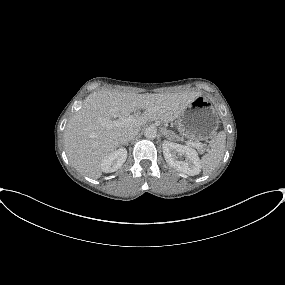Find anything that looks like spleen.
Wrapping results in <instances>:
<instances>
[{
	"instance_id": "3e777b00",
	"label": "spleen",
	"mask_w": 285,
	"mask_h": 285,
	"mask_svg": "<svg viewBox=\"0 0 285 285\" xmlns=\"http://www.w3.org/2000/svg\"><path fill=\"white\" fill-rule=\"evenodd\" d=\"M226 147V134L224 131L218 133L211 143V149L201 159L203 174H210L222 160Z\"/></svg>"
}]
</instances>
